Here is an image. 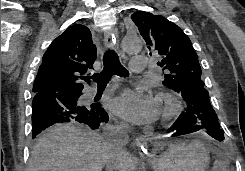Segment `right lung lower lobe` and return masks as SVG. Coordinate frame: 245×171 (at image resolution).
Listing matches in <instances>:
<instances>
[{
    "instance_id": "1",
    "label": "right lung lower lobe",
    "mask_w": 245,
    "mask_h": 171,
    "mask_svg": "<svg viewBox=\"0 0 245 171\" xmlns=\"http://www.w3.org/2000/svg\"><path fill=\"white\" fill-rule=\"evenodd\" d=\"M81 89H68L57 93L36 94L32 102V137L47 127L62 122L77 121L97 129L107 123L109 116L100 104L81 105Z\"/></svg>"
}]
</instances>
